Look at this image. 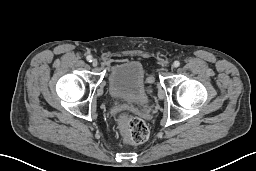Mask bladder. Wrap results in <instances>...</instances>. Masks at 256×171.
I'll return each mask as SVG.
<instances>
[{
  "mask_svg": "<svg viewBox=\"0 0 256 171\" xmlns=\"http://www.w3.org/2000/svg\"><path fill=\"white\" fill-rule=\"evenodd\" d=\"M108 87L113 98L131 105L148 101L143 66L138 61H125L112 67Z\"/></svg>",
  "mask_w": 256,
  "mask_h": 171,
  "instance_id": "obj_1",
  "label": "bladder"
}]
</instances>
